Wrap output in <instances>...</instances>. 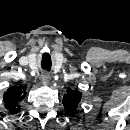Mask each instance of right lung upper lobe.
<instances>
[{
    "instance_id": "right-lung-upper-lobe-1",
    "label": "right lung upper lobe",
    "mask_w": 130,
    "mask_h": 130,
    "mask_svg": "<svg viewBox=\"0 0 130 130\" xmlns=\"http://www.w3.org/2000/svg\"><path fill=\"white\" fill-rule=\"evenodd\" d=\"M26 93L17 87H10L4 94L5 107L11 114H15L20 109L19 101L25 98Z\"/></svg>"
}]
</instances>
